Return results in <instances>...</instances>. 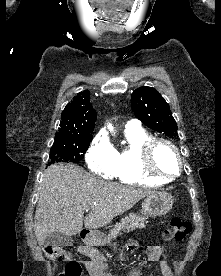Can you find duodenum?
Wrapping results in <instances>:
<instances>
[{"instance_id": "duodenum-1", "label": "duodenum", "mask_w": 221, "mask_h": 276, "mask_svg": "<svg viewBox=\"0 0 221 276\" xmlns=\"http://www.w3.org/2000/svg\"><path fill=\"white\" fill-rule=\"evenodd\" d=\"M80 236L81 238L85 241V242H89L90 241V232L87 230H82L80 232Z\"/></svg>"}]
</instances>
